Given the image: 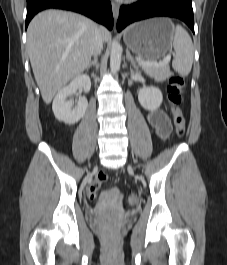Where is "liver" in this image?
I'll use <instances>...</instances> for the list:
<instances>
[{
	"label": "liver",
	"mask_w": 227,
	"mask_h": 265,
	"mask_svg": "<svg viewBox=\"0 0 227 265\" xmlns=\"http://www.w3.org/2000/svg\"><path fill=\"white\" fill-rule=\"evenodd\" d=\"M95 23L77 13L46 10L37 14L27 30V49L43 101L55 94L89 65ZM103 40L110 37L99 28Z\"/></svg>",
	"instance_id": "liver-1"
}]
</instances>
